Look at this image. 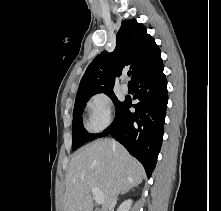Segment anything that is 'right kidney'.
Segmentation results:
<instances>
[{"mask_svg": "<svg viewBox=\"0 0 221 211\" xmlns=\"http://www.w3.org/2000/svg\"><path fill=\"white\" fill-rule=\"evenodd\" d=\"M132 205V200H126L124 201L118 208L117 211H129Z\"/></svg>", "mask_w": 221, "mask_h": 211, "instance_id": "right-kidney-1", "label": "right kidney"}]
</instances>
